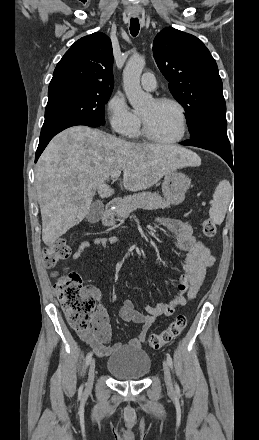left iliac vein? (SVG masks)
I'll use <instances>...</instances> for the list:
<instances>
[{
  "label": "left iliac vein",
  "instance_id": "obj_1",
  "mask_svg": "<svg viewBox=\"0 0 259 440\" xmlns=\"http://www.w3.org/2000/svg\"><path fill=\"white\" fill-rule=\"evenodd\" d=\"M164 380L168 390L173 389V383L171 378L170 369L166 361L163 362Z\"/></svg>",
  "mask_w": 259,
  "mask_h": 440
}]
</instances>
